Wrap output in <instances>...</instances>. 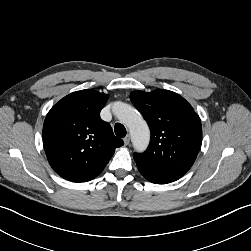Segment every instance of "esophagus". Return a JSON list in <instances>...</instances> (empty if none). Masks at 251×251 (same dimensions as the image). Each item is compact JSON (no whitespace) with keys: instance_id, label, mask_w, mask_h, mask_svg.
Wrapping results in <instances>:
<instances>
[{"instance_id":"esophagus-1","label":"esophagus","mask_w":251,"mask_h":251,"mask_svg":"<svg viewBox=\"0 0 251 251\" xmlns=\"http://www.w3.org/2000/svg\"><path fill=\"white\" fill-rule=\"evenodd\" d=\"M129 143H130V136L127 135V136L124 138V144L127 146V145H129Z\"/></svg>"}]
</instances>
